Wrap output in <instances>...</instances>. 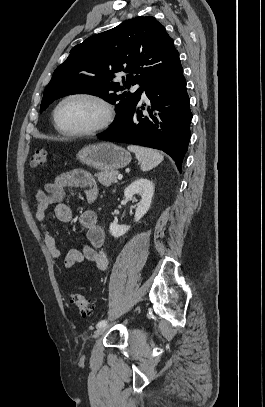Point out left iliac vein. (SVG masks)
Wrapping results in <instances>:
<instances>
[{"instance_id": "4c4485c4", "label": "left iliac vein", "mask_w": 265, "mask_h": 407, "mask_svg": "<svg viewBox=\"0 0 265 407\" xmlns=\"http://www.w3.org/2000/svg\"><path fill=\"white\" fill-rule=\"evenodd\" d=\"M107 330V326H102L100 328H98L95 332H94V338L99 337L100 335H102L105 331Z\"/></svg>"}]
</instances>
